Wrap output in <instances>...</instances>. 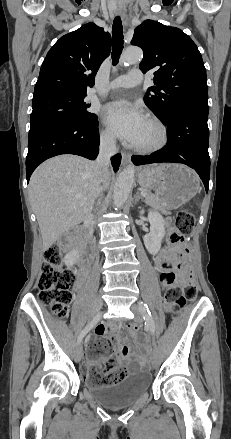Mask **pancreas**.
Instances as JSON below:
<instances>
[{
  "mask_svg": "<svg viewBox=\"0 0 231 439\" xmlns=\"http://www.w3.org/2000/svg\"><path fill=\"white\" fill-rule=\"evenodd\" d=\"M145 202L146 204L160 209L159 200L156 197V195L152 194L151 192H147V195L145 196Z\"/></svg>",
  "mask_w": 231,
  "mask_h": 439,
  "instance_id": "pancreas-1",
  "label": "pancreas"
}]
</instances>
